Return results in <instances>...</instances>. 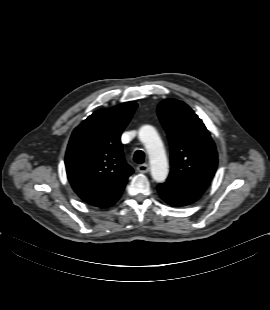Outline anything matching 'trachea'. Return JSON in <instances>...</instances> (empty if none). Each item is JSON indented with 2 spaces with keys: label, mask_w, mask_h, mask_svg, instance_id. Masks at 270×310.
<instances>
[{
  "label": "trachea",
  "mask_w": 270,
  "mask_h": 310,
  "mask_svg": "<svg viewBox=\"0 0 270 310\" xmlns=\"http://www.w3.org/2000/svg\"><path fill=\"white\" fill-rule=\"evenodd\" d=\"M144 159H145V154L143 151L141 150H138L134 153V156H133V161L137 164H142L144 163Z\"/></svg>",
  "instance_id": "trachea-1"
}]
</instances>
